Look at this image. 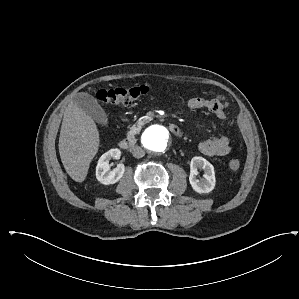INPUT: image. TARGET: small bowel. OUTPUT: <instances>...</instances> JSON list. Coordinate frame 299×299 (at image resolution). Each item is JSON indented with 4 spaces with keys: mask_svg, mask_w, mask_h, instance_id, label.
<instances>
[{
    "mask_svg": "<svg viewBox=\"0 0 299 299\" xmlns=\"http://www.w3.org/2000/svg\"><path fill=\"white\" fill-rule=\"evenodd\" d=\"M227 106L228 103L223 96H216L210 99L194 97L187 101L188 109H206L221 121L227 118ZM212 128H214L213 123ZM199 150L209 157L225 156L231 151L229 138L227 136L210 137L199 143Z\"/></svg>",
    "mask_w": 299,
    "mask_h": 299,
    "instance_id": "small-bowel-1",
    "label": "small bowel"
}]
</instances>
